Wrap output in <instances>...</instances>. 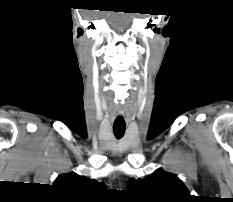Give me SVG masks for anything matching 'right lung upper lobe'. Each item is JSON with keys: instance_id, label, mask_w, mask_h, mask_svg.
Returning <instances> with one entry per match:
<instances>
[{"instance_id": "cb5924a9", "label": "right lung upper lobe", "mask_w": 233, "mask_h": 202, "mask_svg": "<svg viewBox=\"0 0 233 202\" xmlns=\"http://www.w3.org/2000/svg\"><path fill=\"white\" fill-rule=\"evenodd\" d=\"M54 185L66 188L68 190H87L94 187H99L101 183L96 180H90L76 173L63 174L58 176Z\"/></svg>"}]
</instances>
